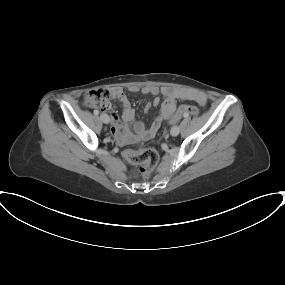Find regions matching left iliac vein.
I'll return each mask as SVG.
<instances>
[{"label": "left iliac vein", "instance_id": "4c4485c4", "mask_svg": "<svg viewBox=\"0 0 285 285\" xmlns=\"http://www.w3.org/2000/svg\"><path fill=\"white\" fill-rule=\"evenodd\" d=\"M179 132H180V129L178 126H173L170 130V134L172 136H177L179 134Z\"/></svg>", "mask_w": 285, "mask_h": 285}]
</instances>
